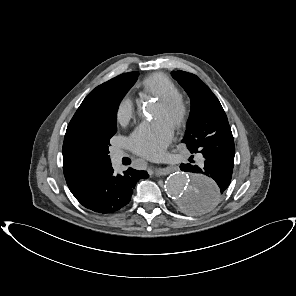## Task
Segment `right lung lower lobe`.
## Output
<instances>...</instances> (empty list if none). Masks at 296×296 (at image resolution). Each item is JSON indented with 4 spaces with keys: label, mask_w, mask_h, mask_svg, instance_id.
I'll list each match as a JSON object with an SVG mask.
<instances>
[{
    "label": "right lung lower lobe",
    "mask_w": 296,
    "mask_h": 296,
    "mask_svg": "<svg viewBox=\"0 0 296 296\" xmlns=\"http://www.w3.org/2000/svg\"><path fill=\"white\" fill-rule=\"evenodd\" d=\"M112 166L102 170L76 192L75 198L86 208L98 213L116 212L126 206L133 194L137 181L148 178L146 171L128 168L124 175L113 174Z\"/></svg>",
    "instance_id": "98d812e1"
}]
</instances>
